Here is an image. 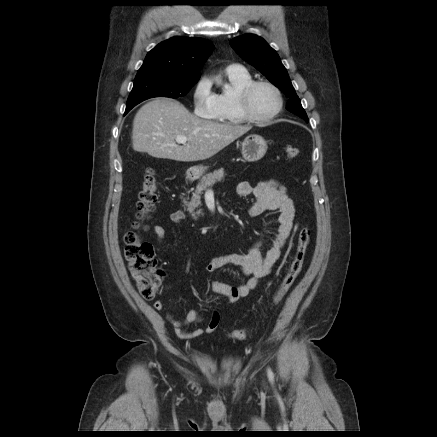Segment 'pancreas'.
I'll use <instances>...</instances> for the list:
<instances>
[{"mask_svg":"<svg viewBox=\"0 0 437 437\" xmlns=\"http://www.w3.org/2000/svg\"><path fill=\"white\" fill-rule=\"evenodd\" d=\"M224 178V169L215 170L213 173L206 174L203 176L196 186V190L190 201L183 200L184 206H186L187 211L190 212L194 219H197L200 215H203L201 203V195L203 191H206L209 187L213 186L216 182H220ZM199 208V209H198ZM197 209V211H195Z\"/></svg>","mask_w":437,"mask_h":437,"instance_id":"pancreas-1","label":"pancreas"}]
</instances>
